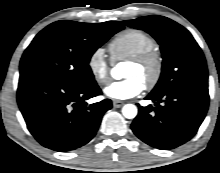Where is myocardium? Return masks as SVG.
<instances>
[{"instance_id":"f54148a6","label":"myocardium","mask_w":220,"mask_h":173,"mask_svg":"<svg viewBox=\"0 0 220 173\" xmlns=\"http://www.w3.org/2000/svg\"><path fill=\"white\" fill-rule=\"evenodd\" d=\"M129 63L149 70V76L144 82L147 89H153L159 83L163 72V59L158 51L151 50L132 57L129 59Z\"/></svg>"}]
</instances>
